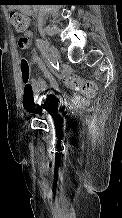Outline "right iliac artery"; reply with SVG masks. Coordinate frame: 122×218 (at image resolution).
<instances>
[{"mask_svg":"<svg viewBox=\"0 0 122 218\" xmlns=\"http://www.w3.org/2000/svg\"><path fill=\"white\" fill-rule=\"evenodd\" d=\"M36 43L46 62L50 63L51 65H54V62L51 59V50L48 48L45 42L41 39H37Z\"/></svg>","mask_w":122,"mask_h":218,"instance_id":"82829eb1","label":"right iliac artery"}]
</instances>
